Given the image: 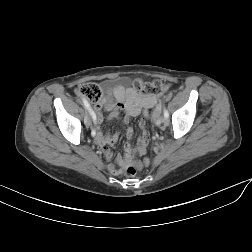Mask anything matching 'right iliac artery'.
<instances>
[{"instance_id": "1", "label": "right iliac artery", "mask_w": 252, "mask_h": 252, "mask_svg": "<svg viewBox=\"0 0 252 252\" xmlns=\"http://www.w3.org/2000/svg\"><path fill=\"white\" fill-rule=\"evenodd\" d=\"M82 101H83L84 107L89 111V113H90L91 116L93 117V118H92V121H93V122H96V121H97V118H96V115H95L94 111L92 110L90 104H89V103L87 102V100H85L84 98L82 99ZM91 134H92L93 138H96V136H97V131H96V130H92V131H91Z\"/></svg>"}]
</instances>
